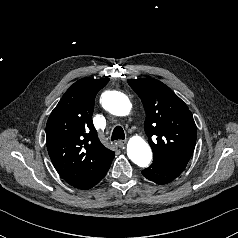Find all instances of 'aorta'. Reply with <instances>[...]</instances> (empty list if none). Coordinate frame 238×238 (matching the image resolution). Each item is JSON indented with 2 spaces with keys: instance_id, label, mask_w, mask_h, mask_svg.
I'll list each match as a JSON object with an SVG mask.
<instances>
[{
  "instance_id": "762f6f07",
  "label": "aorta",
  "mask_w": 238,
  "mask_h": 238,
  "mask_svg": "<svg viewBox=\"0 0 238 238\" xmlns=\"http://www.w3.org/2000/svg\"><path fill=\"white\" fill-rule=\"evenodd\" d=\"M102 105L111 114L126 116L132 105L128 97L118 91H107L102 96ZM129 159L139 167H147L152 160V151L148 143L141 137H132L127 145Z\"/></svg>"
}]
</instances>
